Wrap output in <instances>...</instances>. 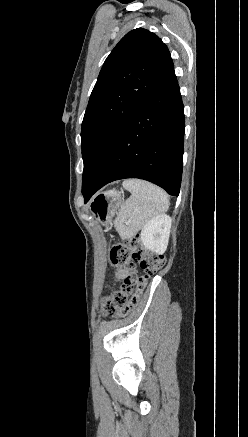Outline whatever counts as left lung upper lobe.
I'll list each match as a JSON object with an SVG mask.
<instances>
[{
  "label": "left lung upper lobe",
  "mask_w": 248,
  "mask_h": 437,
  "mask_svg": "<svg viewBox=\"0 0 248 437\" xmlns=\"http://www.w3.org/2000/svg\"><path fill=\"white\" fill-rule=\"evenodd\" d=\"M173 68L167 46L146 29L130 31L111 51L82 122L83 194L97 177L125 123Z\"/></svg>",
  "instance_id": "obj_1"
}]
</instances>
